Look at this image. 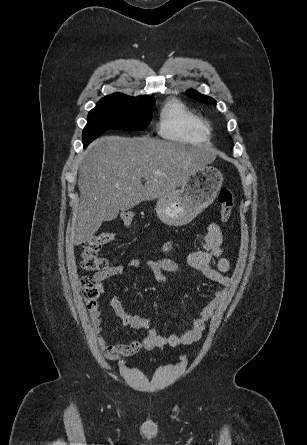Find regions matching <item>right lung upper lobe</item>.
Returning a JSON list of instances; mask_svg holds the SVG:
<instances>
[{"label":"right lung upper lobe","mask_w":307,"mask_h":445,"mask_svg":"<svg viewBox=\"0 0 307 445\" xmlns=\"http://www.w3.org/2000/svg\"><path fill=\"white\" fill-rule=\"evenodd\" d=\"M111 97H123V98H130V99H135V100H139V101H145V102H150V101H154V99L152 97H144V96H139V97H131V96H127L124 94H119V93H115L112 95H109Z\"/></svg>","instance_id":"right-lung-upper-lobe-1"}]
</instances>
